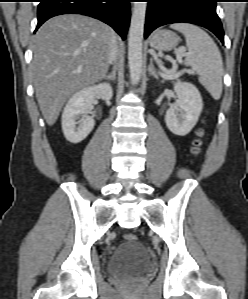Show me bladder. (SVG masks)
<instances>
[{"label": "bladder", "instance_id": "1", "mask_svg": "<svg viewBox=\"0 0 248 299\" xmlns=\"http://www.w3.org/2000/svg\"><path fill=\"white\" fill-rule=\"evenodd\" d=\"M150 268V258L140 242L120 244L107 261L108 274L138 276Z\"/></svg>", "mask_w": 248, "mask_h": 299}]
</instances>
